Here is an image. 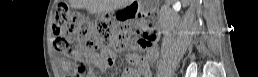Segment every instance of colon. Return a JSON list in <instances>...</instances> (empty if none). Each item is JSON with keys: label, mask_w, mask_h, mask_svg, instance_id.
I'll return each instance as SVG.
<instances>
[{"label": "colon", "mask_w": 258, "mask_h": 77, "mask_svg": "<svg viewBox=\"0 0 258 77\" xmlns=\"http://www.w3.org/2000/svg\"><path fill=\"white\" fill-rule=\"evenodd\" d=\"M52 31L58 47L70 56L76 49H97L108 45L123 48L130 39L135 47L145 50L154 35L150 29H143L138 34L132 33L130 27L123 22L92 25L81 15L62 5L55 9Z\"/></svg>", "instance_id": "colon-1"}]
</instances>
